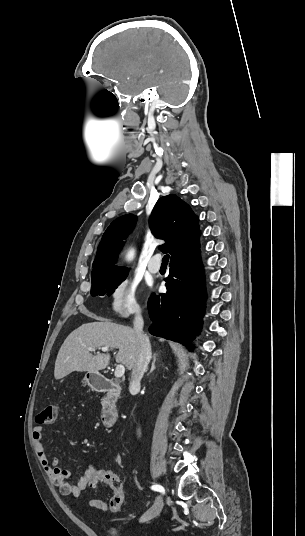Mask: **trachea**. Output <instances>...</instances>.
I'll return each instance as SVG.
<instances>
[{"label":"trachea","mask_w":305,"mask_h":536,"mask_svg":"<svg viewBox=\"0 0 305 536\" xmlns=\"http://www.w3.org/2000/svg\"><path fill=\"white\" fill-rule=\"evenodd\" d=\"M169 261V255H164V257L162 258V263H168Z\"/></svg>","instance_id":"1"}]
</instances>
